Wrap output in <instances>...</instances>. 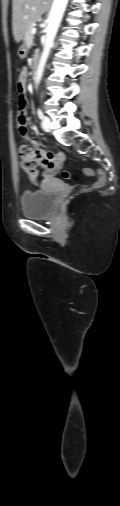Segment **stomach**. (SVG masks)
<instances>
[{"label":"stomach","mask_w":120,"mask_h":506,"mask_svg":"<svg viewBox=\"0 0 120 506\" xmlns=\"http://www.w3.org/2000/svg\"><path fill=\"white\" fill-rule=\"evenodd\" d=\"M27 51L28 47L26 46V44H23L18 50V56L20 58H24L27 55Z\"/></svg>","instance_id":"0dacf381"}]
</instances>
